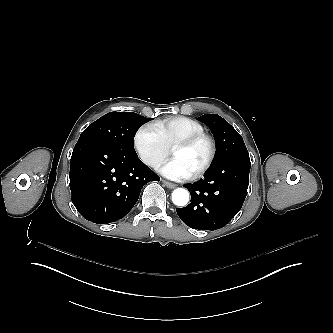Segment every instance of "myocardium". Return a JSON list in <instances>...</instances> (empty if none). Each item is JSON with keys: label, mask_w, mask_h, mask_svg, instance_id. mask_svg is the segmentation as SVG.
Instances as JSON below:
<instances>
[{"label": "myocardium", "mask_w": 333, "mask_h": 333, "mask_svg": "<svg viewBox=\"0 0 333 333\" xmlns=\"http://www.w3.org/2000/svg\"><path fill=\"white\" fill-rule=\"evenodd\" d=\"M200 143H206L208 146V155L205 159V161L201 164V166L196 170L194 174L190 177L191 179H198L202 175L205 174V172L212 166L217 153V147L215 141L207 134L202 133L198 135H193L187 138H184L183 140L179 141L174 147H194Z\"/></svg>", "instance_id": "f54148a6"}]
</instances>
